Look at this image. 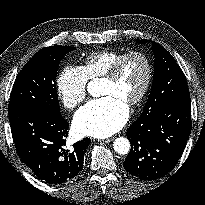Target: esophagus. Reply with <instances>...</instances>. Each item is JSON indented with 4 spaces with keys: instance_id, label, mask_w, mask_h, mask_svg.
I'll return each instance as SVG.
<instances>
[{
    "instance_id": "1",
    "label": "esophagus",
    "mask_w": 205,
    "mask_h": 205,
    "mask_svg": "<svg viewBox=\"0 0 205 205\" xmlns=\"http://www.w3.org/2000/svg\"><path fill=\"white\" fill-rule=\"evenodd\" d=\"M113 137H111V138H107V139H103V140H101L103 143H109V142H111V141H113Z\"/></svg>"
}]
</instances>
